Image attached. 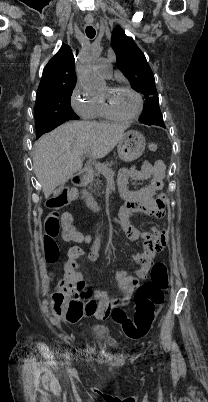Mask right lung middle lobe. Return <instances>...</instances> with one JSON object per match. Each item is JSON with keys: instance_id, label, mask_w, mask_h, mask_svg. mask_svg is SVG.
Segmentation results:
<instances>
[{"instance_id": "dd1d6c3e", "label": "right lung middle lobe", "mask_w": 208, "mask_h": 402, "mask_svg": "<svg viewBox=\"0 0 208 402\" xmlns=\"http://www.w3.org/2000/svg\"><path fill=\"white\" fill-rule=\"evenodd\" d=\"M73 85L62 86L59 88L50 89L46 92L37 95L35 104V121L47 120L55 118L65 122L71 119H79L71 108L70 99ZM41 134V131L36 129V138Z\"/></svg>"}]
</instances>
